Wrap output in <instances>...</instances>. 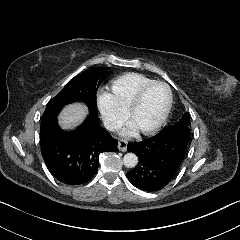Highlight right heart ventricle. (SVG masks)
Masks as SVG:
<instances>
[{"mask_svg": "<svg viewBox=\"0 0 240 240\" xmlns=\"http://www.w3.org/2000/svg\"><path fill=\"white\" fill-rule=\"evenodd\" d=\"M151 81L153 80L138 73H126L108 83L106 86L108 92L104 96L124 112L139 89Z\"/></svg>", "mask_w": 240, "mask_h": 240, "instance_id": "right-heart-ventricle-1", "label": "right heart ventricle"}]
</instances>
